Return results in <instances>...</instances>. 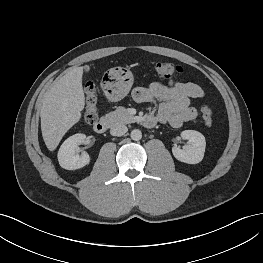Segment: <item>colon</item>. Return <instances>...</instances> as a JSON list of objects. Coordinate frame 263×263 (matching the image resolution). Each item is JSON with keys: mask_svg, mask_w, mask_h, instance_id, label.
I'll use <instances>...</instances> for the list:
<instances>
[{"mask_svg": "<svg viewBox=\"0 0 263 263\" xmlns=\"http://www.w3.org/2000/svg\"><path fill=\"white\" fill-rule=\"evenodd\" d=\"M155 71L158 76L163 78H170L178 76L182 73V68L170 61H159L155 65ZM86 95V108L84 112V119L88 124H94L98 119L96 109V85L93 81L86 82L84 86ZM202 117L205 124L209 127L214 125V118L207 106L201 109Z\"/></svg>", "mask_w": 263, "mask_h": 263, "instance_id": "1", "label": "colon"}]
</instances>
